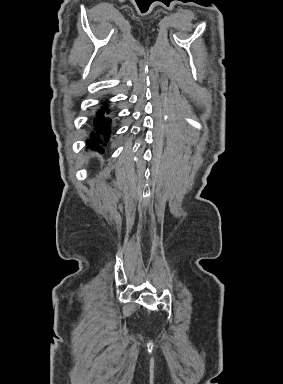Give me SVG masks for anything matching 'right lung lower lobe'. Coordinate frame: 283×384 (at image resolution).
Instances as JSON below:
<instances>
[{
  "label": "right lung lower lobe",
  "instance_id": "98d812e1",
  "mask_svg": "<svg viewBox=\"0 0 283 384\" xmlns=\"http://www.w3.org/2000/svg\"><path fill=\"white\" fill-rule=\"evenodd\" d=\"M109 113V109L103 106L101 109L97 111V117L94 118L93 123L95 127V132L91 134V139L88 140V146L92 149L99 150L98 143H104L108 141V138L104 136H108L109 134V125L111 123V119L107 117ZM101 135V138H100ZM103 152V150H100Z\"/></svg>",
  "mask_w": 283,
  "mask_h": 384
}]
</instances>
